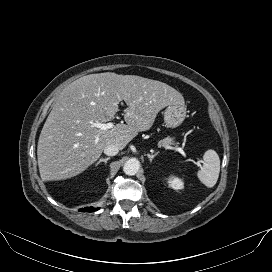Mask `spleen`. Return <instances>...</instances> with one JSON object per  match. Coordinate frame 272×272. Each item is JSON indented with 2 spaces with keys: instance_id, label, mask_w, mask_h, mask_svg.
<instances>
[{
  "instance_id": "1",
  "label": "spleen",
  "mask_w": 272,
  "mask_h": 272,
  "mask_svg": "<svg viewBox=\"0 0 272 272\" xmlns=\"http://www.w3.org/2000/svg\"><path fill=\"white\" fill-rule=\"evenodd\" d=\"M220 159L216 151L209 149L204 153L203 165L198 171L199 180L208 188L213 187L219 177Z\"/></svg>"
}]
</instances>
